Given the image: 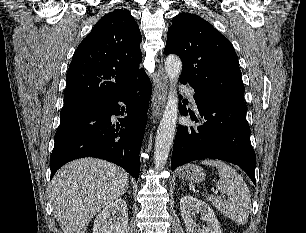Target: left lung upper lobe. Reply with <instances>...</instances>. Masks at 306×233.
<instances>
[{"label": "left lung upper lobe", "instance_id": "5c2ea615", "mask_svg": "<svg viewBox=\"0 0 306 233\" xmlns=\"http://www.w3.org/2000/svg\"><path fill=\"white\" fill-rule=\"evenodd\" d=\"M164 53L181 58V81L194 91L243 100L245 88L232 44L198 15L180 13L172 19Z\"/></svg>", "mask_w": 306, "mask_h": 233}]
</instances>
